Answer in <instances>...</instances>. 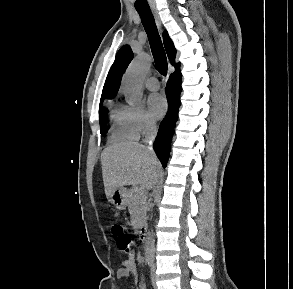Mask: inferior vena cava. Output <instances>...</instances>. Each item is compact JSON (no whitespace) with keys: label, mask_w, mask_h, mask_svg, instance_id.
Wrapping results in <instances>:
<instances>
[{"label":"inferior vena cava","mask_w":293,"mask_h":289,"mask_svg":"<svg viewBox=\"0 0 293 289\" xmlns=\"http://www.w3.org/2000/svg\"><path fill=\"white\" fill-rule=\"evenodd\" d=\"M156 134H157L156 124L154 122H152L149 125L147 136H146V139H145V141L148 143L147 148L152 152H153L152 143L154 142V140L156 138Z\"/></svg>","instance_id":"inferior-vena-cava-1"}]
</instances>
